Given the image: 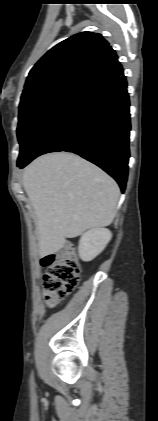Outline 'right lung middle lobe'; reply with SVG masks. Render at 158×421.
I'll use <instances>...</instances> for the list:
<instances>
[{"mask_svg":"<svg viewBox=\"0 0 158 421\" xmlns=\"http://www.w3.org/2000/svg\"><path fill=\"white\" fill-rule=\"evenodd\" d=\"M81 86L80 83L61 82L21 98L17 128L20 154L17 164L27 158L42 130Z\"/></svg>","mask_w":158,"mask_h":421,"instance_id":"1","label":"right lung middle lobe"}]
</instances>
